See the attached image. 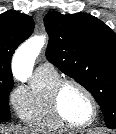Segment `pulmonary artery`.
I'll return each instance as SVG.
<instances>
[{
    "label": "pulmonary artery",
    "mask_w": 116,
    "mask_h": 134,
    "mask_svg": "<svg viewBox=\"0 0 116 134\" xmlns=\"http://www.w3.org/2000/svg\"><path fill=\"white\" fill-rule=\"evenodd\" d=\"M48 70H55L53 65L49 62H43L39 64L36 68V71H48Z\"/></svg>",
    "instance_id": "e3ab8cb5"
}]
</instances>
